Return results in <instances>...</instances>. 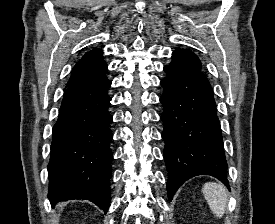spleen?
Segmentation results:
<instances>
[{
	"label": "spleen",
	"mask_w": 275,
	"mask_h": 224,
	"mask_svg": "<svg viewBox=\"0 0 275 224\" xmlns=\"http://www.w3.org/2000/svg\"><path fill=\"white\" fill-rule=\"evenodd\" d=\"M202 192L215 217L221 218L227 208L228 194L225 187L215 182L205 183Z\"/></svg>",
	"instance_id": "obj_1"
}]
</instances>
